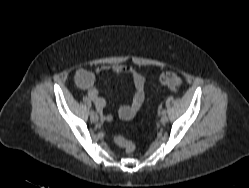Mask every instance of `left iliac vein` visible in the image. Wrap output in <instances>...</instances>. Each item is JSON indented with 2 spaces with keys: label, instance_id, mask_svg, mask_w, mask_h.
<instances>
[{
  "label": "left iliac vein",
  "instance_id": "1",
  "mask_svg": "<svg viewBox=\"0 0 249 188\" xmlns=\"http://www.w3.org/2000/svg\"><path fill=\"white\" fill-rule=\"evenodd\" d=\"M160 121H161L162 124H165V123L168 122V117L166 116V114H165V115H162Z\"/></svg>",
  "mask_w": 249,
  "mask_h": 188
}]
</instances>
